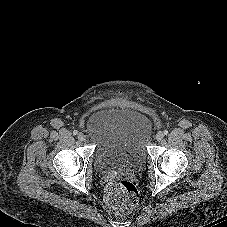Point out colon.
<instances>
[{
    "label": "colon",
    "instance_id": "1",
    "mask_svg": "<svg viewBox=\"0 0 227 227\" xmlns=\"http://www.w3.org/2000/svg\"><path fill=\"white\" fill-rule=\"evenodd\" d=\"M104 199L108 207L120 216L128 215L138 206L137 189L124 178H114L107 183Z\"/></svg>",
    "mask_w": 227,
    "mask_h": 227
}]
</instances>
